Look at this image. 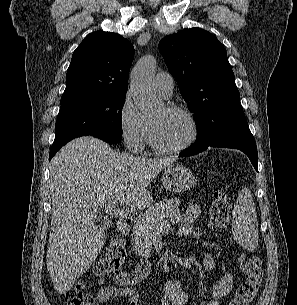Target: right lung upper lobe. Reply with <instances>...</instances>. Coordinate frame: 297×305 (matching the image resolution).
<instances>
[{
	"label": "right lung upper lobe",
	"mask_w": 297,
	"mask_h": 305,
	"mask_svg": "<svg viewBox=\"0 0 297 305\" xmlns=\"http://www.w3.org/2000/svg\"><path fill=\"white\" fill-rule=\"evenodd\" d=\"M133 45L104 31L89 34L74 51L61 100L84 95L126 93Z\"/></svg>",
	"instance_id": "1"
}]
</instances>
